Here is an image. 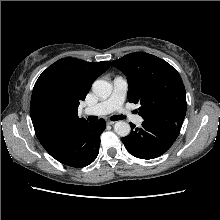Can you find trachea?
<instances>
[{"mask_svg":"<svg viewBox=\"0 0 220 220\" xmlns=\"http://www.w3.org/2000/svg\"><path fill=\"white\" fill-rule=\"evenodd\" d=\"M122 119H125V116H123V115H114V116L111 117V120H113V121H118V120H122ZM88 120L93 122V121L97 120V117L96 116H89Z\"/></svg>","mask_w":220,"mask_h":220,"instance_id":"3493384b","label":"trachea"}]
</instances>
